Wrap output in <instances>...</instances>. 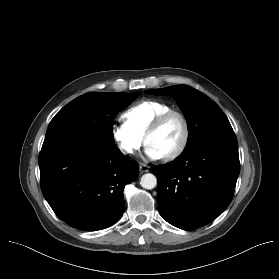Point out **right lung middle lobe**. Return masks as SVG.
I'll use <instances>...</instances> for the list:
<instances>
[{"label":"right lung middle lobe","mask_w":279,"mask_h":279,"mask_svg":"<svg viewBox=\"0 0 279 279\" xmlns=\"http://www.w3.org/2000/svg\"><path fill=\"white\" fill-rule=\"evenodd\" d=\"M138 96V92H90L79 96L54 116L45 139L65 133H79L101 144L114 145L113 121L118 112Z\"/></svg>","instance_id":"obj_1"}]
</instances>
